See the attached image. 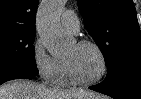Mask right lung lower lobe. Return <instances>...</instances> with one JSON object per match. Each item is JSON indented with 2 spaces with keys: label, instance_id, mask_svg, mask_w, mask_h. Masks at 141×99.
<instances>
[{
  "label": "right lung lower lobe",
  "instance_id": "obj_1",
  "mask_svg": "<svg viewBox=\"0 0 141 99\" xmlns=\"http://www.w3.org/2000/svg\"><path fill=\"white\" fill-rule=\"evenodd\" d=\"M38 74V69L25 67L0 68V85L6 81L21 78H30Z\"/></svg>",
  "mask_w": 141,
  "mask_h": 99
}]
</instances>
